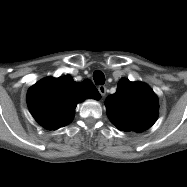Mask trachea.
I'll return each instance as SVG.
<instances>
[{
	"instance_id": "1",
	"label": "trachea",
	"mask_w": 187,
	"mask_h": 187,
	"mask_svg": "<svg viewBox=\"0 0 187 187\" xmlns=\"http://www.w3.org/2000/svg\"><path fill=\"white\" fill-rule=\"evenodd\" d=\"M93 79H94L96 85H98V84L103 85L105 83V76L99 70H96L93 73Z\"/></svg>"
}]
</instances>
